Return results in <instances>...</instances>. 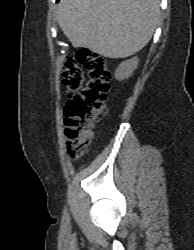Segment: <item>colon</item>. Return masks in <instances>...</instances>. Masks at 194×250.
I'll use <instances>...</instances> for the list:
<instances>
[{"mask_svg": "<svg viewBox=\"0 0 194 250\" xmlns=\"http://www.w3.org/2000/svg\"><path fill=\"white\" fill-rule=\"evenodd\" d=\"M62 76L67 94L66 152L70 159L76 160L86 153L93 127L103 117L110 72L103 57L88 49H80L74 56L64 59Z\"/></svg>", "mask_w": 194, "mask_h": 250, "instance_id": "5ec220e1", "label": "colon"}]
</instances>
